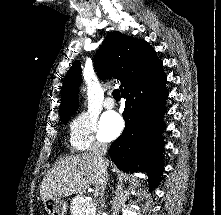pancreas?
<instances>
[{
	"mask_svg": "<svg viewBox=\"0 0 221 215\" xmlns=\"http://www.w3.org/2000/svg\"><path fill=\"white\" fill-rule=\"evenodd\" d=\"M85 197L82 195L75 196L70 203L72 215H95V205L92 201L83 202Z\"/></svg>",
	"mask_w": 221,
	"mask_h": 215,
	"instance_id": "1",
	"label": "pancreas"
}]
</instances>
